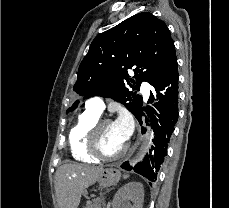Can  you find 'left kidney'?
I'll use <instances>...</instances> for the list:
<instances>
[{
	"instance_id": "1",
	"label": "left kidney",
	"mask_w": 229,
	"mask_h": 208,
	"mask_svg": "<svg viewBox=\"0 0 229 208\" xmlns=\"http://www.w3.org/2000/svg\"><path fill=\"white\" fill-rule=\"evenodd\" d=\"M127 200L134 202V206H130ZM144 200V188L140 182H129L122 186L114 196L113 208H142Z\"/></svg>"
}]
</instances>
